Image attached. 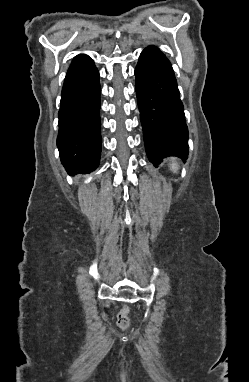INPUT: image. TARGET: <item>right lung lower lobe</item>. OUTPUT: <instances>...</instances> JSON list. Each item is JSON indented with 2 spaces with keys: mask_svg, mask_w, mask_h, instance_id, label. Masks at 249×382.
<instances>
[{
  "mask_svg": "<svg viewBox=\"0 0 249 382\" xmlns=\"http://www.w3.org/2000/svg\"><path fill=\"white\" fill-rule=\"evenodd\" d=\"M99 72L91 58L67 72L61 94L57 147L69 174L90 173L101 155Z\"/></svg>",
  "mask_w": 249,
  "mask_h": 382,
  "instance_id": "right-lung-lower-lobe-1",
  "label": "right lung lower lobe"
}]
</instances>
